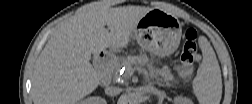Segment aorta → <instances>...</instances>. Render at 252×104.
I'll list each match as a JSON object with an SVG mask.
<instances>
[{"instance_id": "obj_1", "label": "aorta", "mask_w": 252, "mask_h": 104, "mask_svg": "<svg viewBox=\"0 0 252 104\" xmlns=\"http://www.w3.org/2000/svg\"><path fill=\"white\" fill-rule=\"evenodd\" d=\"M127 102L129 104H139L141 102V95L138 93H130L127 96Z\"/></svg>"}]
</instances>
